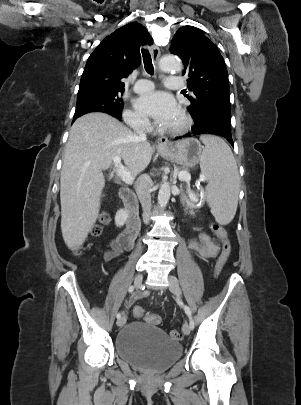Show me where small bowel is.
Listing matches in <instances>:
<instances>
[{
  "instance_id": "obj_1",
  "label": "small bowel",
  "mask_w": 301,
  "mask_h": 405,
  "mask_svg": "<svg viewBox=\"0 0 301 405\" xmlns=\"http://www.w3.org/2000/svg\"><path fill=\"white\" fill-rule=\"evenodd\" d=\"M189 248L197 252L203 258H214L220 252V245L216 240H213L208 234L200 232L196 240H191L188 243ZM125 248L121 244L120 236L114 240L104 255L106 261H110L119 256ZM141 295L134 294L127 302L126 308H128L135 300Z\"/></svg>"
}]
</instances>
